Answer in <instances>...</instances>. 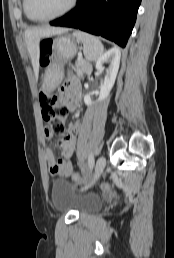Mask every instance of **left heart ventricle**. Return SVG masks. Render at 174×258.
<instances>
[{"instance_id":"left-heart-ventricle-1","label":"left heart ventricle","mask_w":174,"mask_h":258,"mask_svg":"<svg viewBox=\"0 0 174 258\" xmlns=\"http://www.w3.org/2000/svg\"><path fill=\"white\" fill-rule=\"evenodd\" d=\"M70 0H29L30 13L37 18L55 15L65 9Z\"/></svg>"}]
</instances>
